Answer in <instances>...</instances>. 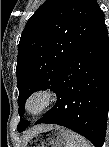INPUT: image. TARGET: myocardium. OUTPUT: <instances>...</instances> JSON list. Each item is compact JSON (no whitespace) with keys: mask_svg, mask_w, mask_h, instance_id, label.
<instances>
[{"mask_svg":"<svg viewBox=\"0 0 109 147\" xmlns=\"http://www.w3.org/2000/svg\"><path fill=\"white\" fill-rule=\"evenodd\" d=\"M40 100V105L36 110H31L30 104L33 100ZM56 93L50 88H40L32 91L25 100V110L31 115H39L46 111L55 101Z\"/></svg>","mask_w":109,"mask_h":147,"instance_id":"obj_1","label":"myocardium"}]
</instances>
